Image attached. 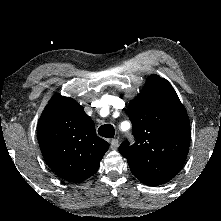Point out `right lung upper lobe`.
I'll list each match as a JSON object with an SVG mask.
<instances>
[{"instance_id": "cb5924a9", "label": "right lung upper lobe", "mask_w": 221, "mask_h": 221, "mask_svg": "<svg viewBox=\"0 0 221 221\" xmlns=\"http://www.w3.org/2000/svg\"><path fill=\"white\" fill-rule=\"evenodd\" d=\"M38 142L48 166L61 178L81 182L95 174L109 143L74 99L55 95L40 116Z\"/></svg>"}]
</instances>
